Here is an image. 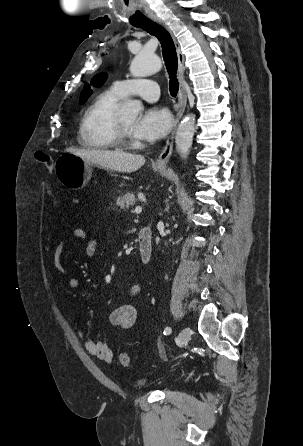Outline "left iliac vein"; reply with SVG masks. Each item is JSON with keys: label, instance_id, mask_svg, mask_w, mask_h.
I'll use <instances>...</instances> for the list:
<instances>
[{"label": "left iliac vein", "instance_id": "obj_1", "mask_svg": "<svg viewBox=\"0 0 303 446\" xmlns=\"http://www.w3.org/2000/svg\"><path fill=\"white\" fill-rule=\"evenodd\" d=\"M191 336V330L188 327L183 328L178 335V343L183 346L188 344Z\"/></svg>", "mask_w": 303, "mask_h": 446}]
</instances>
